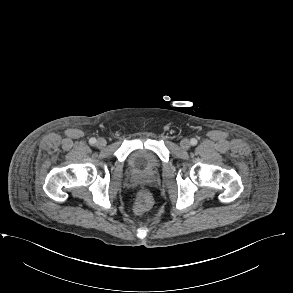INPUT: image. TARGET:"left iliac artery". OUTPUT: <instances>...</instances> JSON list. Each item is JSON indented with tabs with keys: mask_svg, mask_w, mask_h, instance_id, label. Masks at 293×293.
Returning a JSON list of instances; mask_svg holds the SVG:
<instances>
[{
	"mask_svg": "<svg viewBox=\"0 0 293 293\" xmlns=\"http://www.w3.org/2000/svg\"><path fill=\"white\" fill-rule=\"evenodd\" d=\"M197 144V140L195 138L191 139V145L195 146Z\"/></svg>",
	"mask_w": 293,
	"mask_h": 293,
	"instance_id": "44dca946",
	"label": "left iliac artery"
}]
</instances>
